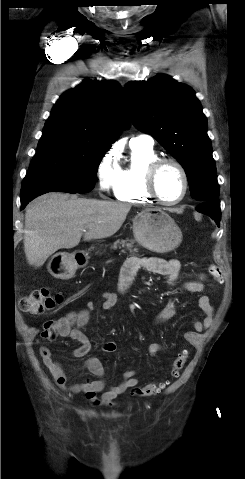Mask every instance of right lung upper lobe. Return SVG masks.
Listing matches in <instances>:
<instances>
[{"instance_id": "obj_1", "label": "right lung upper lobe", "mask_w": 245, "mask_h": 479, "mask_svg": "<svg viewBox=\"0 0 245 479\" xmlns=\"http://www.w3.org/2000/svg\"><path fill=\"white\" fill-rule=\"evenodd\" d=\"M129 125L120 86L114 81L86 80L59 98L43 132L62 133L110 148Z\"/></svg>"}]
</instances>
